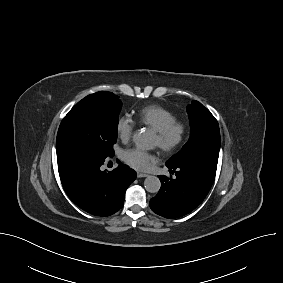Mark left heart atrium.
Instances as JSON below:
<instances>
[{
    "label": "left heart atrium",
    "instance_id": "1",
    "mask_svg": "<svg viewBox=\"0 0 283 283\" xmlns=\"http://www.w3.org/2000/svg\"><path fill=\"white\" fill-rule=\"evenodd\" d=\"M124 161L138 170H148L155 161V156L139 147H132L123 152Z\"/></svg>",
    "mask_w": 283,
    "mask_h": 283
}]
</instances>
